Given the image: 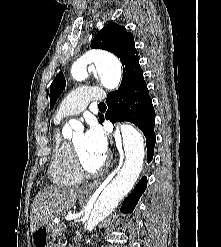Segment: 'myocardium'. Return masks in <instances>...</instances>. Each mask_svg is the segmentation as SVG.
Instances as JSON below:
<instances>
[{
  "instance_id": "obj_1",
  "label": "myocardium",
  "mask_w": 221,
  "mask_h": 247,
  "mask_svg": "<svg viewBox=\"0 0 221 247\" xmlns=\"http://www.w3.org/2000/svg\"><path fill=\"white\" fill-rule=\"evenodd\" d=\"M69 146H70L76 167H77L79 173L83 176H87V177L96 176L102 170H104L108 164V159L106 157H103L97 167H95L94 169H89L85 165V163H84L81 155L79 154L77 148L75 147L73 141L69 143Z\"/></svg>"
}]
</instances>
